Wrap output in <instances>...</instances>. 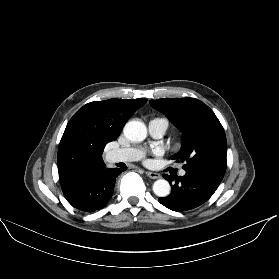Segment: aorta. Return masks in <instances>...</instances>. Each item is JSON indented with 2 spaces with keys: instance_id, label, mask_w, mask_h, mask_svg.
I'll return each instance as SVG.
<instances>
[{
  "instance_id": "762f6f07",
  "label": "aorta",
  "mask_w": 279,
  "mask_h": 279,
  "mask_svg": "<svg viewBox=\"0 0 279 279\" xmlns=\"http://www.w3.org/2000/svg\"><path fill=\"white\" fill-rule=\"evenodd\" d=\"M126 138L133 142H141L147 136V128L141 121H129L123 129ZM171 187L167 180L159 179L153 184V192L158 197H166L170 194Z\"/></svg>"
}]
</instances>
